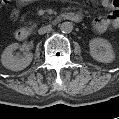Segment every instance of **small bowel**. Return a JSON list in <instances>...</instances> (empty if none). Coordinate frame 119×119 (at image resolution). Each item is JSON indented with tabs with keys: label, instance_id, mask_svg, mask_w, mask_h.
<instances>
[{
	"label": "small bowel",
	"instance_id": "1",
	"mask_svg": "<svg viewBox=\"0 0 119 119\" xmlns=\"http://www.w3.org/2000/svg\"><path fill=\"white\" fill-rule=\"evenodd\" d=\"M101 5L110 10L105 17H97L92 21L93 30L102 34L107 30H116L119 27V0H102ZM18 16V11L13 12V17Z\"/></svg>",
	"mask_w": 119,
	"mask_h": 119
}]
</instances>
